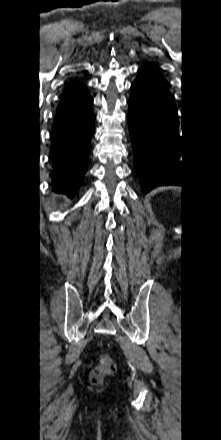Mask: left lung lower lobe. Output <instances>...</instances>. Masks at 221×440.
<instances>
[{
  "label": "left lung lower lobe",
  "instance_id": "obj_1",
  "mask_svg": "<svg viewBox=\"0 0 221 440\" xmlns=\"http://www.w3.org/2000/svg\"><path fill=\"white\" fill-rule=\"evenodd\" d=\"M128 123L143 193L182 184L175 153L181 146L177 108L157 67L146 64L131 85Z\"/></svg>",
  "mask_w": 221,
  "mask_h": 440
}]
</instances>
